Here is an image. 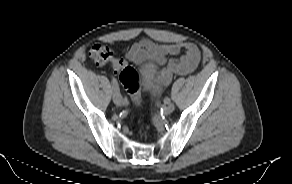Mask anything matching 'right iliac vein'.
<instances>
[{
  "mask_svg": "<svg viewBox=\"0 0 292 184\" xmlns=\"http://www.w3.org/2000/svg\"><path fill=\"white\" fill-rule=\"evenodd\" d=\"M113 101L117 106H121V105L126 104V102L122 99V97H118L117 93H114Z\"/></svg>",
  "mask_w": 292,
  "mask_h": 184,
  "instance_id": "obj_1",
  "label": "right iliac vein"
}]
</instances>
